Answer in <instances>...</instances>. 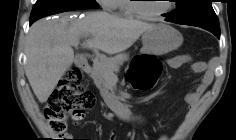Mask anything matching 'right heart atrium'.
<instances>
[{
    "label": "right heart atrium",
    "instance_id": "d8ad5b80",
    "mask_svg": "<svg viewBox=\"0 0 236 140\" xmlns=\"http://www.w3.org/2000/svg\"><path fill=\"white\" fill-rule=\"evenodd\" d=\"M99 2L102 7L107 11H111L114 9V6L112 5V0H99Z\"/></svg>",
    "mask_w": 236,
    "mask_h": 140
}]
</instances>
